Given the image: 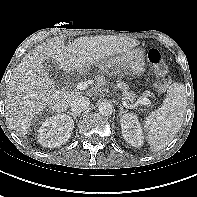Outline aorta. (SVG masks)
<instances>
[{"label":"aorta","instance_id":"obj_1","mask_svg":"<svg viewBox=\"0 0 197 197\" xmlns=\"http://www.w3.org/2000/svg\"><path fill=\"white\" fill-rule=\"evenodd\" d=\"M98 111L103 116H110L113 113V105L109 101H102L98 106Z\"/></svg>","mask_w":197,"mask_h":197}]
</instances>
